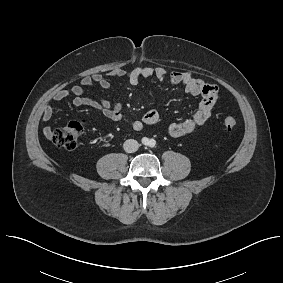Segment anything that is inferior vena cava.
<instances>
[{"mask_svg":"<svg viewBox=\"0 0 283 283\" xmlns=\"http://www.w3.org/2000/svg\"><path fill=\"white\" fill-rule=\"evenodd\" d=\"M123 147L127 153H133L138 150L139 143L134 139H128L124 142Z\"/></svg>","mask_w":283,"mask_h":283,"instance_id":"obj_1","label":"inferior vena cava"}]
</instances>
